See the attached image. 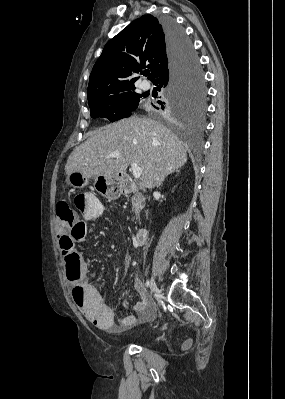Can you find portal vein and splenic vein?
<instances>
[{
  "label": "portal vein and splenic vein",
  "instance_id": "obj_1",
  "mask_svg": "<svg viewBox=\"0 0 285 399\" xmlns=\"http://www.w3.org/2000/svg\"><path fill=\"white\" fill-rule=\"evenodd\" d=\"M118 157H120V152H118V151L112 152V153L108 156V158H118ZM131 169H132L133 177L136 178V179L140 178L143 169H142L141 167H139V166H138L136 163H134V162L131 163Z\"/></svg>",
  "mask_w": 285,
  "mask_h": 399
}]
</instances>
